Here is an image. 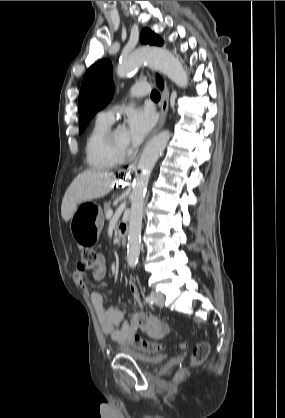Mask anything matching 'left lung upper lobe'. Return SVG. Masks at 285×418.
Returning <instances> with one entry per match:
<instances>
[{"label": "left lung upper lobe", "instance_id": "left-lung-upper-lobe-1", "mask_svg": "<svg viewBox=\"0 0 285 418\" xmlns=\"http://www.w3.org/2000/svg\"><path fill=\"white\" fill-rule=\"evenodd\" d=\"M142 43L162 45V39L150 29L141 32ZM158 77V76H157ZM114 84L112 64L109 60H100L86 72L79 94L80 133L87 127L90 119L112 99Z\"/></svg>", "mask_w": 285, "mask_h": 418}]
</instances>
